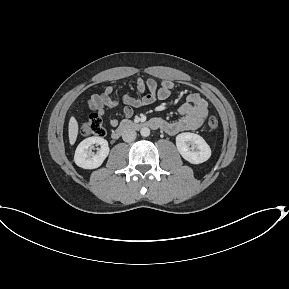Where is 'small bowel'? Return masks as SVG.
<instances>
[{
  "label": "small bowel",
  "mask_w": 289,
  "mask_h": 289,
  "mask_svg": "<svg viewBox=\"0 0 289 289\" xmlns=\"http://www.w3.org/2000/svg\"><path fill=\"white\" fill-rule=\"evenodd\" d=\"M135 86L140 94L146 90L148 92L142 97H134L130 94L123 95L124 107L121 111L126 118H130L137 108L151 105L158 100H166L171 95L174 83L170 80H164L158 84L157 81L151 78L148 80L138 78L135 81ZM113 93L114 88L107 86L103 92L93 94L88 101L89 108L96 112L98 116H104L106 109H114L119 104L118 100L113 97ZM208 115V101L199 93H191L188 95L186 103L179 109V119L166 121L156 118V120L160 123V129L169 135H176L180 132L199 129ZM108 122L112 127H115L118 123L117 119L113 117H110Z\"/></svg>",
  "instance_id": "c3829d8e"
}]
</instances>
